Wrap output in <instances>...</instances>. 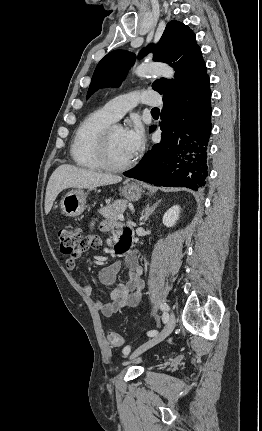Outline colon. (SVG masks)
Wrapping results in <instances>:
<instances>
[{
    "instance_id": "5ec220e1",
    "label": "colon",
    "mask_w": 262,
    "mask_h": 431,
    "mask_svg": "<svg viewBox=\"0 0 262 431\" xmlns=\"http://www.w3.org/2000/svg\"><path fill=\"white\" fill-rule=\"evenodd\" d=\"M58 240L61 253L70 258L97 246L100 242L98 236L86 235L79 227L61 228ZM107 339L112 346H119L123 343L121 335L117 332H109Z\"/></svg>"
}]
</instances>
